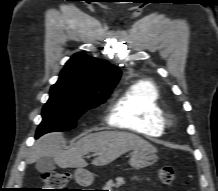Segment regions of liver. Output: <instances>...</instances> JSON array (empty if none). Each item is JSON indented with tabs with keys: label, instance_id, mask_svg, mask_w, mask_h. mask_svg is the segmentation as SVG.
<instances>
[{
	"label": "liver",
	"instance_id": "6515ba94",
	"mask_svg": "<svg viewBox=\"0 0 218 191\" xmlns=\"http://www.w3.org/2000/svg\"><path fill=\"white\" fill-rule=\"evenodd\" d=\"M64 144L65 139L61 133L42 136L31 149L27 163L31 164L41 157L49 156L61 168H83L87 166L83 156L89 152L97 155L92 161L93 165L104 166L130 150L157 151L149 142L135 134L116 131L88 134L67 150L63 149Z\"/></svg>",
	"mask_w": 218,
	"mask_h": 191
}]
</instances>
